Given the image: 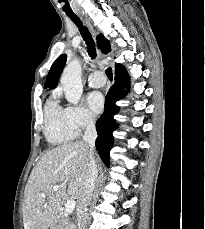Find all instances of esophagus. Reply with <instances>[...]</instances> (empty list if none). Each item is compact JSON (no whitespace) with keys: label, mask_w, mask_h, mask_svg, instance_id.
I'll use <instances>...</instances> for the list:
<instances>
[{"label":"esophagus","mask_w":205,"mask_h":229,"mask_svg":"<svg viewBox=\"0 0 205 229\" xmlns=\"http://www.w3.org/2000/svg\"><path fill=\"white\" fill-rule=\"evenodd\" d=\"M87 23H88L89 27L91 28V30H92V31L94 32V34H95V31H94V29H93L91 23H90L89 21H87Z\"/></svg>","instance_id":"1"}]
</instances>
